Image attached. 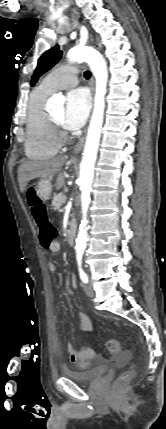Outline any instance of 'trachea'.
Here are the masks:
<instances>
[{"label":"trachea","mask_w":166,"mask_h":429,"mask_svg":"<svg viewBox=\"0 0 166 429\" xmlns=\"http://www.w3.org/2000/svg\"><path fill=\"white\" fill-rule=\"evenodd\" d=\"M84 76H85V78H86V79H89V78H90V76H91L90 71H86V72L84 73Z\"/></svg>","instance_id":"obj_1"}]
</instances>
